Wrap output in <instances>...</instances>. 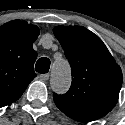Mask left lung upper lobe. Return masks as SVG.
I'll return each mask as SVG.
<instances>
[{
  "mask_svg": "<svg viewBox=\"0 0 125 125\" xmlns=\"http://www.w3.org/2000/svg\"><path fill=\"white\" fill-rule=\"evenodd\" d=\"M53 32L73 77L66 94H53L56 106L78 121L103 117L118 101L123 82L120 66L103 41L85 27L57 26Z\"/></svg>",
  "mask_w": 125,
  "mask_h": 125,
  "instance_id": "obj_1",
  "label": "left lung upper lobe"
}]
</instances>
